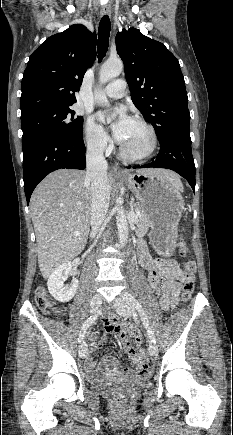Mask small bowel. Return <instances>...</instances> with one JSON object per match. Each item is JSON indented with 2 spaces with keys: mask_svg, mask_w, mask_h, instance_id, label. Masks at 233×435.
I'll use <instances>...</instances> for the list:
<instances>
[{
  "mask_svg": "<svg viewBox=\"0 0 233 435\" xmlns=\"http://www.w3.org/2000/svg\"><path fill=\"white\" fill-rule=\"evenodd\" d=\"M138 257L142 266L148 272V285L156 293L159 299V307L168 311L175 307L178 302V293L182 281L190 276L184 272L174 260L154 259L143 243H138ZM106 333L97 335V342L91 345V351L96 352L103 344L109 341L110 335L119 339L124 350L133 363V368L124 367L114 356L107 355L101 360V367L97 368L96 361L89 358L86 362L88 378L98 380L102 375H122L130 378L143 376L147 373L146 366L139 367L140 360L128 339L132 337L134 344L140 346L143 342L139 328L133 323L121 322L114 313H108L104 320Z\"/></svg>",
  "mask_w": 233,
  "mask_h": 435,
  "instance_id": "small-bowel-1",
  "label": "small bowel"
}]
</instances>
